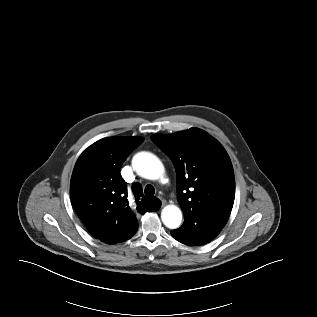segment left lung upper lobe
<instances>
[{
    "instance_id": "left-lung-upper-lobe-1",
    "label": "left lung upper lobe",
    "mask_w": 317,
    "mask_h": 317,
    "mask_svg": "<svg viewBox=\"0 0 317 317\" xmlns=\"http://www.w3.org/2000/svg\"><path fill=\"white\" fill-rule=\"evenodd\" d=\"M151 139L175 166L177 198L184 218L197 214L228 218L235 198V179L223 146L198 128L155 134Z\"/></svg>"
}]
</instances>
